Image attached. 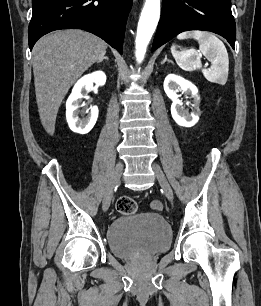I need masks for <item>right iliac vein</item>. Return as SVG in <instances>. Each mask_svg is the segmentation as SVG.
I'll use <instances>...</instances> for the list:
<instances>
[{
  "label": "right iliac vein",
  "mask_w": 261,
  "mask_h": 306,
  "mask_svg": "<svg viewBox=\"0 0 261 306\" xmlns=\"http://www.w3.org/2000/svg\"><path fill=\"white\" fill-rule=\"evenodd\" d=\"M122 171H123V163L118 162L114 168V171L112 173V176L110 178V181L106 189V193L104 195V199L102 203V208L104 211H107L110 206L112 195H113V190L120 181Z\"/></svg>",
  "instance_id": "63e3f726"
}]
</instances>
